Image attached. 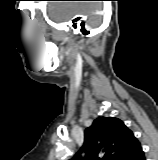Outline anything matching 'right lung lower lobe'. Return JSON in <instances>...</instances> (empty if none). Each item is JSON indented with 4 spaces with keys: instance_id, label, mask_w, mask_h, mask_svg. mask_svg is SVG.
<instances>
[{
    "instance_id": "1",
    "label": "right lung lower lobe",
    "mask_w": 158,
    "mask_h": 160,
    "mask_svg": "<svg viewBox=\"0 0 158 160\" xmlns=\"http://www.w3.org/2000/svg\"><path fill=\"white\" fill-rule=\"evenodd\" d=\"M128 160H145V155L140 147L132 156L128 158Z\"/></svg>"
}]
</instances>
